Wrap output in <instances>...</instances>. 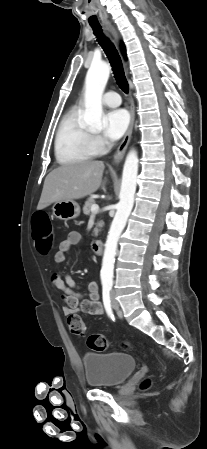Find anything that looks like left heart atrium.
<instances>
[{
	"label": "left heart atrium",
	"instance_id": "1",
	"mask_svg": "<svg viewBox=\"0 0 207 449\" xmlns=\"http://www.w3.org/2000/svg\"><path fill=\"white\" fill-rule=\"evenodd\" d=\"M104 135L109 140H117L125 133L129 125V114L124 109H117L105 115Z\"/></svg>",
	"mask_w": 207,
	"mask_h": 449
}]
</instances>
